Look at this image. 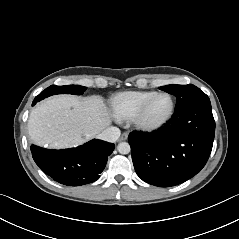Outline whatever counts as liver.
Instances as JSON below:
<instances>
[{
	"instance_id": "1",
	"label": "liver",
	"mask_w": 239,
	"mask_h": 239,
	"mask_svg": "<svg viewBox=\"0 0 239 239\" xmlns=\"http://www.w3.org/2000/svg\"><path fill=\"white\" fill-rule=\"evenodd\" d=\"M110 124L111 116L101 96L58 95L31 111L28 132L37 145L63 148L97 136Z\"/></svg>"
}]
</instances>
